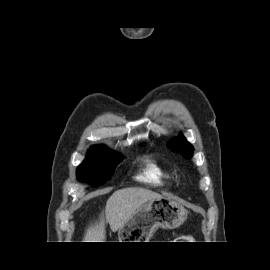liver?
I'll return each mask as SVG.
<instances>
[{
  "instance_id": "6515ba94",
  "label": "liver",
  "mask_w": 270,
  "mask_h": 270,
  "mask_svg": "<svg viewBox=\"0 0 270 270\" xmlns=\"http://www.w3.org/2000/svg\"><path fill=\"white\" fill-rule=\"evenodd\" d=\"M154 191L129 187L115 191L107 200L105 210L99 220L90 225L85 232L84 242H104L106 240V222L113 232L123 227L145 203L161 198Z\"/></svg>"
}]
</instances>
